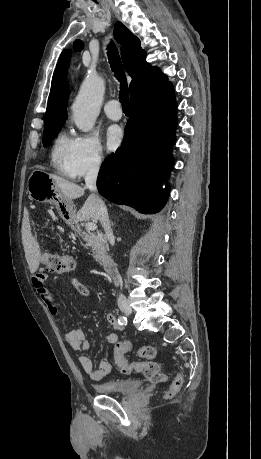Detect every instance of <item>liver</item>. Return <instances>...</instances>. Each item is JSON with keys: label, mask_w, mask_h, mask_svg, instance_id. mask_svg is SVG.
I'll list each match as a JSON object with an SVG mask.
<instances>
[{"label": "liver", "mask_w": 261, "mask_h": 459, "mask_svg": "<svg viewBox=\"0 0 261 459\" xmlns=\"http://www.w3.org/2000/svg\"><path fill=\"white\" fill-rule=\"evenodd\" d=\"M49 175L53 179L55 184L58 186V188L61 190L65 199L73 200L80 198L84 195L85 188L68 180H65L64 178H61L59 176L53 174ZM75 218L77 221L91 220L94 223L97 222L98 219L96 217L94 201L91 195L87 198L82 208L76 214ZM23 245L29 270L33 274L39 268L41 252L38 242L35 240V238H33L30 231L26 232V235L23 239Z\"/></svg>", "instance_id": "1"}]
</instances>
